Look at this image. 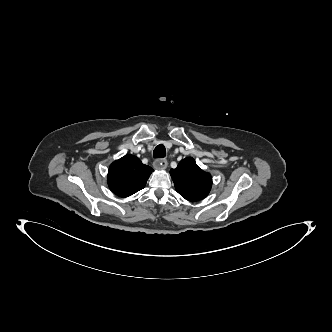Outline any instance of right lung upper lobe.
Wrapping results in <instances>:
<instances>
[{"mask_svg": "<svg viewBox=\"0 0 332 332\" xmlns=\"http://www.w3.org/2000/svg\"><path fill=\"white\" fill-rule=\"evenodd\" d=\"M152 172L151 167L144 165L136 156L128 154L110 165L108 185L117 196L128 197L145 187Z\"/></svg>", "mask_w": 332, "mask_h": 332, "instance_id": "obj_1", "label": "right lung upper lobe"}]
</instances>
